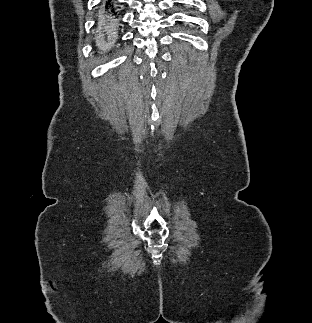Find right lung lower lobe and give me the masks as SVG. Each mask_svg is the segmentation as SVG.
I'll return each mask as SVG.
<instances>
[{
	"mask_svg": "<svg viewBox=\"0 0 312 323\" xmlns=\"http://www.w3.org/2000/svg\"><path fill=\"white\" fill-rule=\"evenodd\" d=\"M123 3L114 0H106L99 4L100 17L96 27L98 28V41L96 49L108 50L116 38L119 26V17L122 14L121 6Z\"/></svg>",
	"mask_w": 312,
	"mask_h": 323,
	"instance_id": "1",
	"label": "right lung lower lobe"
}]
</instances>
